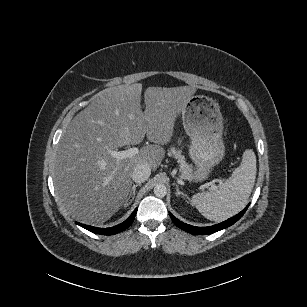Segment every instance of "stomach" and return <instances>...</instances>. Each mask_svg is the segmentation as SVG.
Listing matches in <instances>:
<instances>
[{
    "label": "stomach",
    "mask_w": 307,
    "mask_h": 307,
    "mask_svg": "<svg viewBox=\"0 0 307 307\" xmlns=\"http://www.w3.org/2000/svg\"><path fill=\"white\" fill-rule=\"evenodd\" d=\"M183 127L192 139L190 155L200 166L196 178L207 176L208 168L218 163L224 155L221 140L223 119L215 100L205 95H193L181 112Z\"/></svg>",
    "instance_id": "0dacf381"
}]
</instances>
